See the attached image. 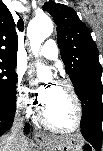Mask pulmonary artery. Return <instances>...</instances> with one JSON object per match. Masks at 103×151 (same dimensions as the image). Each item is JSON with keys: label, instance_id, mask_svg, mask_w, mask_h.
<instances>
[{"label": "pulmonary artery", "instance_id": "pulmonary-artery-1", "mask_svg": "<svg viewBox=\"0 0 103 151\" xmlns=\"http://www.w3.org/2000/svg\"><path fill=\"white\" fill-rule=\"evenodd\" d=\"M40 55L50 60H57L59 50L56 42L52 39L47 40L39 50Z\"/></svg>", "mask_w": 103, "mask_h": 151}]
</instances>
